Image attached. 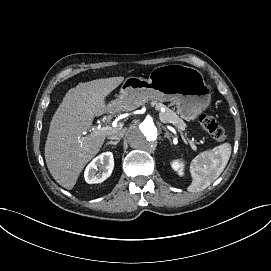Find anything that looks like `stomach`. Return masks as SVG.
I'll return each instance as SVG.
<instances>
[{
  "label": "stomach",
  "instance_id": "0dacf381",
  "mask_svg": "<svg viewBox=\"0 0 271 271\" xmlns=\"http://www.w3.org/2000/svg\"><path fill=\"white\" fill-rule=\"evenodd\" d=\"M172 101L186 120H194L211 102V88L195 68L181 64L153 69L148 79L128 77L118 98L108 105L109 112L130 111L148 100Z\"/></svg>",
  "mask_w": 271,
  "mask_h": 271
}]
</instances>
